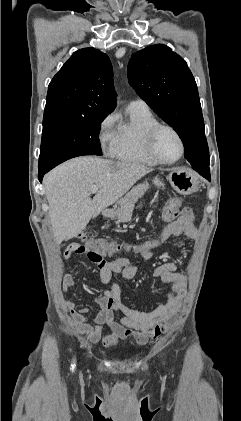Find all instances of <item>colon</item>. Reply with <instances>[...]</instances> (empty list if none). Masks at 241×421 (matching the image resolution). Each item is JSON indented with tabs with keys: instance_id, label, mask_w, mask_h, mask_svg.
<instances>
[{
	"instance_id": "obj_1",
	"label": "colon",
	"mask_w": 241,
	"mask_h": 421,
	"mask_svg": "<svg viewBox=\"0 0 241 421\" xmlns=\"http://www.w3.org/2000/svg\"><path fill=\"white\" fill-rule=\"evenodd\" d=\"M182 206V199L174 197L170 199L162 208L161 219L163 226L155 233V235L146 241L137 245H126L118 242H107L104 240L94 241L81 237V242H74L69 245L73 254H85L88 259L99 266H103L106 261L105 254L114 255L126 251H134L137 253L152 252L165 241L163 228L172 223L179 214Z\"/></svg>"
}]
</instances>
